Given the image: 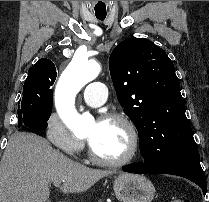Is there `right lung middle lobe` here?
Masks as SVG:
<instances>
[{
    "label": "right lung middle lobe",
    "mask_w": 209,
    "mask_h": 202,
    "mask_svg": "<svg viewBox=\"0 0 209 202\" xmlns=\"http://www.w3.org/2000/svg\"><path fill=\"white\" fill-rule=\"evenodd\" d=\"M55 79L56 75H36L25 80L18 108L19 127L25 121L37 125L47 123L52 111L51 86Z\"/></svg>",
    "instance_id": "right-lung-middle-lobe-1"
}]
</instances>
